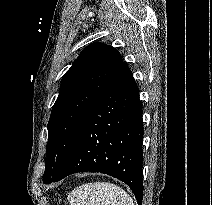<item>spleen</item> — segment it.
<instances>
[{
    "mask_svg": "<svg viewBox=\"0 0 212 205\" xmlns=\"http://www.w3.org/2000/svg\"><path fill=\"white\" fill-rule=\"evenodd\" d=\"M70 205H135L133 199L120 186L110 182H90L72 190Z\"/></svg>",
    "mask_w": 212,
    "mask_h": 205,
    "instance_id": "1",
    "label": "spleen"
}]
</instances>
